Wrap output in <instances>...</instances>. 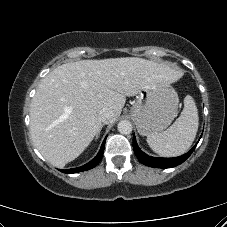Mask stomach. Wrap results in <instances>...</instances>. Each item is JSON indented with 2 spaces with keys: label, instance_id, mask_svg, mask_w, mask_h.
<instances>
[{
  "label": "stomach",
  "instance_id": "stomach-1",
  "mask_svg": "<svg viewBox=\"0 0 227 227\" xmlns=\"http://www.w3.org/2000/svg\"><path fill=\"white\" fill-rule=\"evenodd\" d=\"M179 98L168 83L156 82L140 90L130 114L138 132L151 136L166 129L177 114Z\"/></svg>",
  "mask_w": 227,
  "mask_h": 227
}]
</instances>
